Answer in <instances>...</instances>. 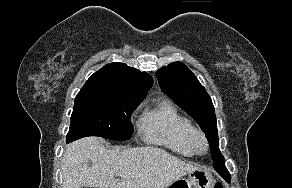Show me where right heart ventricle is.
Returning a JSON list of instances; mask_svg holds the SVG:
<instances>
[{
  "label": "right heart ventricle",
  "instance_id": "1",
  "mask_svg": "<svg viewBox=\"0 0 292 188\" xmlns=\"http://www.w3.org/2000/svg\"><path fill=\"white\" fill-rule=\"evenodd\" d=\"M138 127L142 138L148 143L164 146L185 157L196 153L191 142L195 128L170 101L163 100L146 109L138 121Z\"/></svg>",
  "mask_w": 292,
  "mask_h": 188
}]
</instances>
